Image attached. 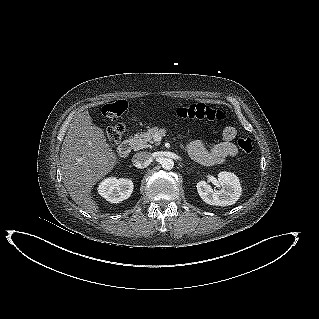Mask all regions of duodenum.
<instances>
[{"instance_id":"1","label":"duodenum","mask_w":319,"mask_h":319,"mask_svg":"<svg viewBox=\"0 0 319 319\" xmlns=\"http://www.w3.org/2000/svg\"><path fill=\"white\" fill-rule=\"evenodd\" d=\"M132 144L129 140H124L117 147V153L120 157H126L131 151Z\"/></svg>"}]
</instances>
